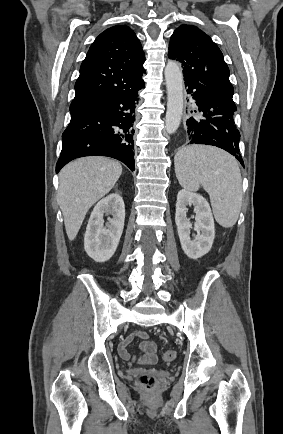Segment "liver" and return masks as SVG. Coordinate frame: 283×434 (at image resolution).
<instances>
[{"label": "liver", "instance_id": "1", "mask_svg": "<svg viewBox=\"0 0 283 434\" xmlns=\"http://www.w3.org/2000/svg\"><path fill=\"white\" fill-rule=\"evenodd\" d=\"M121 174L119 162L101 156L76 159L60 171L57 201L70 241L77 236L90 207L110 192Z\"/></svg>", "mask_w": 283, "mask_h": 434}]
</instances>
